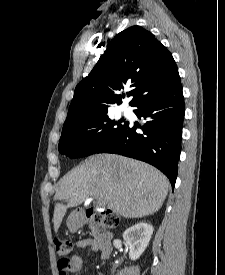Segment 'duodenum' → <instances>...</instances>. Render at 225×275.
<instances>
[{"label": "duodenum", "instance_id": "1", "mask_svg": "<svg viewBox=\"0 0 225 275\" xmlns=\"http://www.w3.org/2000/svg\"><path fill=\"white\" fill-rule=\"evenodd\" d=\"M97 211L96 209H89L86 212L84 210H77L75 213L79 217V220L83 224H87L91 221L90 212ZM96 236H97V246L99 251V256L102 260H106L110 257L113 251V234L101 227L95 226Z\"/></svg>", "mask_w": 225, "mask_h": 275}]
</instances>
